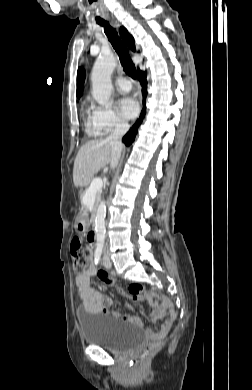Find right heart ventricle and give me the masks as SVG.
<instances>
[{
	"label": "right heart ventricle",
	"mask_w": 252,
	"mask_h": 390,
	"mask_svg": "<svg viewBox=\"0 0 252 390\" xmlns=\"http://www.w3.org/2000/svg\"><path fill=\"white\" fill-rule=\"evenodd\" d=\"M86 131L88 134H95L92 130V126H91V120L89 119L86 123ZM97 135V134H95Z\"/></svg>",
	"instance_id": "e07e8e85"
}]
</instances>
